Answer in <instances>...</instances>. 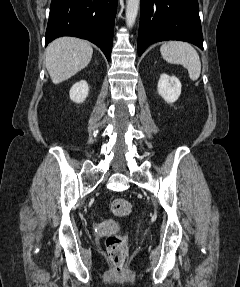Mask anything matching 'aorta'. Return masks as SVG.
I'll list each match as a JSON object with an SVG mask.
<instances>
[{"mask_svg": "<svg viewBox=\"0 0 240 287\" xmlns=\"http://www.w3.org/2000/svg\"><path fill=\"white\" fill-rule=\"evenodd\" d=\"M140 0H126V25L132 28L139 10Z\"/></svg>", "mask_w": 240, "mask_h": 287, "instance_id": "762f6f07", "label": "aorta"}]
</instances>
